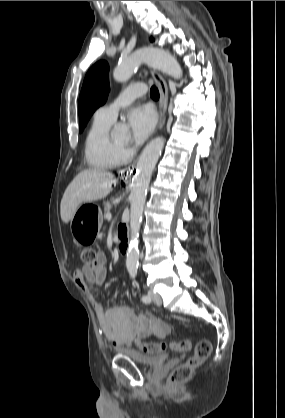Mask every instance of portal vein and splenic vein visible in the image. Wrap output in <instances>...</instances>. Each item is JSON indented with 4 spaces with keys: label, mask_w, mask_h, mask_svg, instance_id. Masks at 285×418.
Wrapping results in <instances>:
<instances>
[{
    "label": "portal vein and splenic vein",
    "mask_w": 285,
    "mask_h": 418,
    "mask_svg": "<svg viewBox=\"0 0 285 418\" xmlns=\"http://www.w3.org/2000/svg\"><path fill=\"white\" fill-rule=\"evenodd\" d=\"M105 218H106L107 220H111V219H112V214H111L110 212L106 213V214H105Z\"/></svg>",
    "instance_id": "18ae733b"
}]
</instances>
